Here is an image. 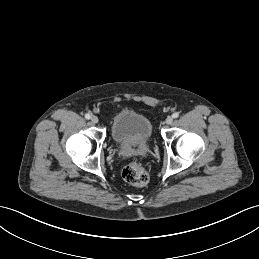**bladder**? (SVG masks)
Segmentation results:
<instances>
[{
  "mask_svg": "<svg viewBox=\"0 0 259 259\" xmlns=\"http://www.w3.org/2000/svg\"><path fill=\"white\" fill-rule=\"evenodd\" d=\"M153 134L150 120L134 111H121L115 115L111 123V135L119 144H139L147 141Z\"/></svg>",
  "mask_w": 259,
  "mask_h": 259,
  "instance_id": "obj_1",
  "label": "bladder"
}]
</instances>
